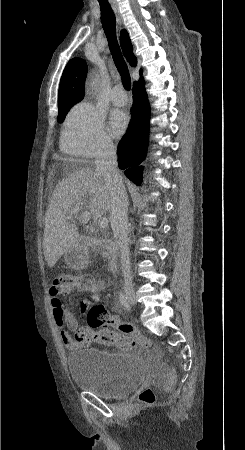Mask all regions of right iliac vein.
Here are the masks:
<instances>
[{"mask_svg": "<svg viewBox=\"0 0 245 450\" xmlns=\"http://www.w3.org/2000/svg\"><path fill=\"white\" fill-rule=\"evenodd\" d=\"M125 293H126L129 303L132 306H135L137 303V300H136L135 292H134L132 285H129V284L125 285Z\"/></svg>", "mask_w": 245, "mask_h": 450, "instance_id": "obj_1", "label": "right iliac vein"}]
</instances>
